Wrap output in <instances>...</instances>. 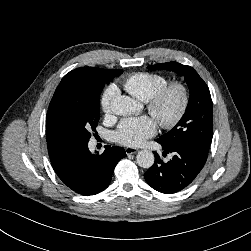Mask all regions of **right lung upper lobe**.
<instances>
[{
    "label": "right lung upper lobe",
    "mask_w": 251,
    "mask_h": 251,
    "mask_svg": "<svg viewBox=\"0 0 251 251\" xmlns=\"http://www.w3.org/2000/svg\"><path fill=\"white\" fill-rule=\"evenodd\" d=\"M92 69H101L95 67H82L75 70H72L68 74H66L60 84L58 85L53 98L50 102L47 116H46V137H47V147L50 160L55 158L60 152H62L67 146L73 144L71 140L64 133L60 122L58 120V111L60 105V98L63 92V85L69 76L79 73L85 72ZM114 71V70H112Z\"/></svg>",
    "instance_id": "obj_1"
}]
</instances>
